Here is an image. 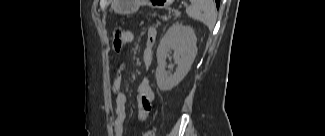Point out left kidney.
<instances>
[{"label":"left kidney","instance_id":"left-kidney-1","mask_svg":"<svg viewBox=\"0 0 325 136\" xmlns=\"http://www.w3.org/2000/svg\"><path fill=\"white\" fill-rule=\"evenodd\" d=\"M196 35L190 26L173 24L162 37L157 48L156 81L161 91H169L187 75L197 55ZM173 50L177 68L174 73L166 71V59Z\"/></svg>","mask_w":325,"mask_h":136}]
</instances>
